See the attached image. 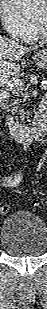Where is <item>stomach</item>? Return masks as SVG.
Returning <instances> with one entry per match:
<instances>
[{"label":"stomach","mask_w":47,"mask_h":309,"mask_svg":"<svg viewBox=\"0 0 47 309\" xmlns=\"http://www.w3.org/2000/svg\"><path fill=\"white\" fill-rule=\"evenodd\" d=\"M33 60L39 67L47 69V47L36 52Z\"/></svg>","instance_id":"stomach-1"}]
</instances>
